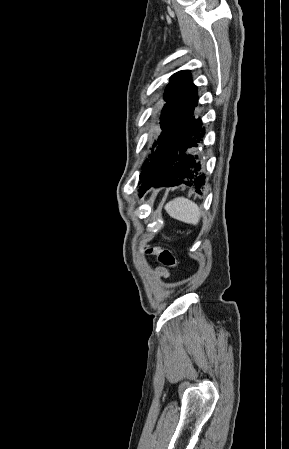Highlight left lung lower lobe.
<instances>
[{
    "label": "left lung lower lobe",
    "mask_w": 289,
    "mask_h": 449,
    "mask_svg": "<svg viewBox=\"0 0 289 449\" xmlns=\"http://www.w3.org/2000/svg\"><path fill=\"white\" fill-rule=\"evenodd\" d=\"M204 135L202 122L194 116L165 145V155L160 171L143 181L139 192L142 196L151 186H176L184 183L200 188L205 184V175L196 155L189 153L197 147ZM197 192H199L197 190Z\"/></svg>",
    "instance_id": "obj_1"
}]
</instances>
